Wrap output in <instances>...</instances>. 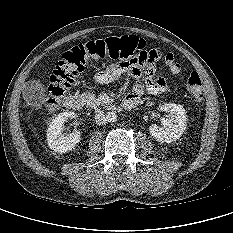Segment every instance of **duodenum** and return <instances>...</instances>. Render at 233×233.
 <instances>
[{"label":"duodenum","mask_w":233,"mask_h":233,"mask_svg":"<svg viewBox=\"0 0 233 233\" xmlns=\"http://www.w3.org/2000/svg\"><path fill=\"white\" fill-rule=\"evenodd\" d=\"M138 99L139 97L136 95L129 94L123 100V106L131 109L137 105ZM65 105L73 110H80L83 108L82 100L75 95H69L65 100Z\"/></svg>","instance_id":"obj_1"}]
</instances>
